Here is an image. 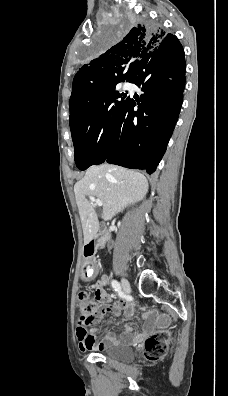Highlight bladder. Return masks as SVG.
Segmentation results:
<instances>
[{"label": "bladder", "mask_w": 228, "mask_h": 396, "mask_svg": "<svg viewBox=\"0 0 228 396\" xmlns=\"http://www.w3.org/2000/svg\"><path fill=\"white\" fill-rule=\"evenodd\" d=\"M106 358L115 360L118 362H131L135 358V352L132 347L125 344H117L107 347L100 351Z\"/></svg>", "instance_id": "bladder-1"}]
</instances>
